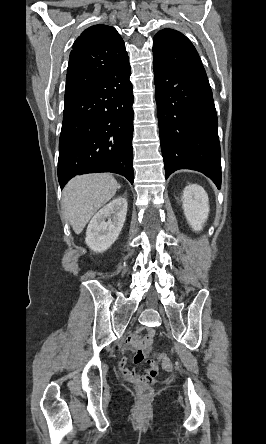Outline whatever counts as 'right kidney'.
I'll use <instances>...</instances> for the list:
<instances>
[{
    "label": "right kidney",
    "mask_w": 266,
    "mask_h": 444,
    "mask_svg": "<svg viewBox=\"0 0 266 444\" xmlns=\"http://www.w3.org/2000/svg\"><path fill=\"white\" fill-rule=\"evenodd\" d=\"M127 213V200L118 197L100 209L90 221L85 242L94 252H104L117 240Z\"/></svg>",
    "instance_id": "obj_1"
}]
</instances>
